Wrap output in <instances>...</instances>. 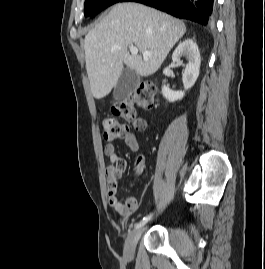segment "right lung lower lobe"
Listing matches in <instances>:
<instances>
[{
  "label": "right lung lower lobe",
  "instance_id": "right-lung-lower-lobe-1",
  "mask_svg": "<svg viewBox=\"0 0 265 269\" xmlns=\"http://www.w3.org/2000/svg\"><path fill=\"white\" fill-rule=\"evenodd\" d=\"M142 3L175 17L206 25L213 12L214 0H125Z\"/></svg>",
  "mask_w": 265,
  "mask_h": 269
}]
</instances>
